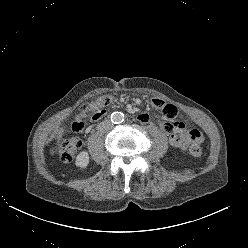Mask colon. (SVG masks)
Instances as JSON below:
<instances>
[{"label":"colon","instance_id":"colon-1","mask_svg":"<svg viewBox=\"0 0 248 248\" xmlns=\"http://www.w3.org/2000/svg\"><path fill=\"white\" fill-rule=\"evenodd\" d=\"M110 102L111 98L104 95L97 99L95 106L83 104L80 107L79 115L72 121V129L77 133L84 132L87 128L88 121L95 118L96 113L100 110L99 108L108 106ZM191 137L192 143L189 148V152L193 156H200L202 154V144L204 140L203 135L199 130L194 129L191 131ZM80 144L81 142L79 139L69 138L55 146L53 152L62 162L69 163L73 160Z\"/></svg>","mask_w":248,"mask_h":248}]
</instances>
